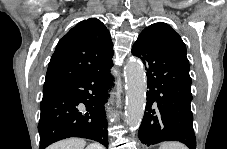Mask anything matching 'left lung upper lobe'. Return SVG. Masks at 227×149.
<instances>
[{
  "label": "left lung upper lobe",
  "instance_id": "1",
  "mask_svg": "<svg viewBox=\"0 0 227 149\" xmlns=\"http://www.w3.org/2000/svg\"><path fill=\"white\" fill-rule=\"evenodd\" d=\"M153 27L166 43V45L182 60V62L190 69L189 61L186 56V47L179 34L169 25L158 22L150 25Z\"/></svg>",
  "mask_w": 227,
  "mask_h": 149
}]
</instances>
